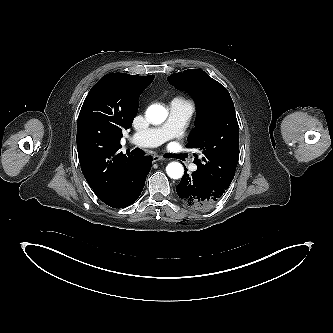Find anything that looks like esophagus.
<instances>
[{
	"label": "esophagus",
	"mask_w": 333,
	"mask_h": 333,
	"mask_svg": "<svg viewBox=\"0 0 333 333\" xmlns=\"http://www.w3.org/2000/svg\"><path fill=\"white\" fill-rule=\"evenodd\" d=\"M152 159H153V162L164 160V158L159 155H153Z\"/></svg>",
	"instance_id": "esophagus-1"
}]
</instances>
